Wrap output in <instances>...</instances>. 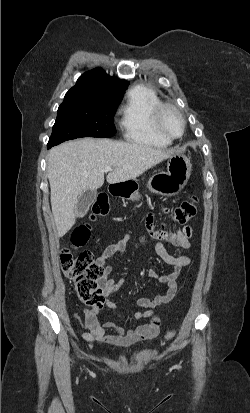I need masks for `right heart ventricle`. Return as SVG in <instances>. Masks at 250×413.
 <instances>
[{"instance_id": "obj_1", "label": "right heart ventricle", "mask_w": 250, "mask_h": 413, "mask_svg": "<svg viewBox=\"0 0 250 413\" xmlns=\"http://www.w3.org/2000/svg\"><path fill=\"white\" fill-rule=\"evenodd\" d=\"M161 100L150 88L135 86L120 108V128L123 137L131 142L164 148L171 141L159 135L153 126V114Z\"/></svg>"}]
</instances>
